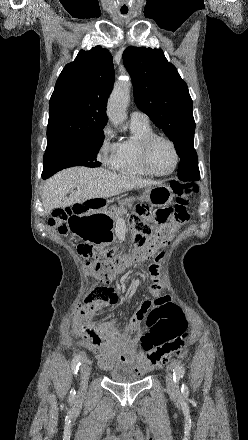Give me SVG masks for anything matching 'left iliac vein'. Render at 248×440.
I'll return each mask as SVG.
<instances>
[{"label": "left iliac vein", "instance_id": "4c4485c4", "mask_svg": "<svg viewBox=\"0 0 248 440\" xmlns=\"http://www.w3.org/2000/svg\"><path fill=\"white\" fill-rule=\"evenodd\" d=\"M166 385L169 394L176 395L177 393V384L174 382L173 375L170 371H167L166 374Z\"/></svg>", "mask_w": 248, "mask_h": 440}]
</instances>
